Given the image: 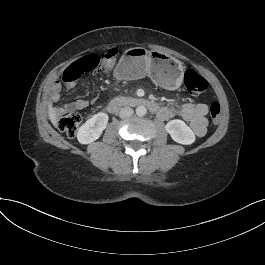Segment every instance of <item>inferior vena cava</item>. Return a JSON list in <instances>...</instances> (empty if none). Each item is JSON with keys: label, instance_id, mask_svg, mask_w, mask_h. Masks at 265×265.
<instances>
[{"label": "inferior vena cava", "instance_id": "602c4592", "mask_svg": "<svg viewBox=\"0 0 265 265\" xmlns=\"http://www.w3.org/2000/svg\"><path fill=\"white\" fill-rule=\"evenodd\" d=\"M134 111L131 107H123L120 109L119 116L120 118H127L133 115Z\"/></svg>", "mask_w": 265, "mask_h": 265}]
</instances>
